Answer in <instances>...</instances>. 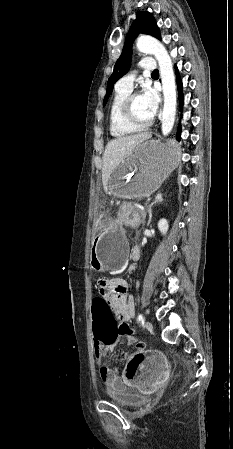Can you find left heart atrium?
Returning <instances> with one entry per match:
<instances>
[{
    "instance_id": "obj_1",
    "label": "left heart atrium",
    "mask_w": 233,
    "mask_h": 449,
    "mask_svg": "<svg viewBox=\"0 0 233 449\" xmlns=\"http://www.w3.org/2000/svg\"><path fill=\"white\" fill-rule=\"evenodd\" d=\"M142 97L151 115L156 114L160 102L157 89L151 86L146 87L142 93Z\"/></svg>"
}]
</instances>
